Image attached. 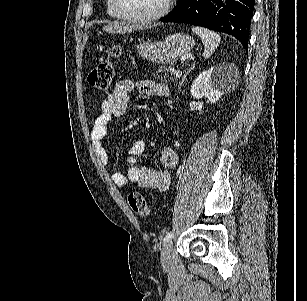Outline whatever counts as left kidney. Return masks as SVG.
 <instances>
[{
  "instance_id": "1",
  "label": "left kidney",
  "mask_w": 307,
  "mask_h": 301,
  "mask_svg": "<svg viewBox=\"0 0 307 301\" xmlns=\"http://www.w3.org/2000/svg\"><path fill=\"white\" fill-rule=\"evenodd\" d=\"M239 76L235 64L219 62L209 70H204L196 76L190 88L192 96H206L210 102H217L222 94L236 84Z\"/></svg>"
}]
</instances>
